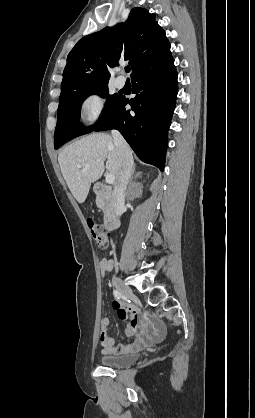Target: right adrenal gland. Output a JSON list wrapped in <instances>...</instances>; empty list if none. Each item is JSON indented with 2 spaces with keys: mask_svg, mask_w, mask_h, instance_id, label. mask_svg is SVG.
Here are the masks:
<instances>
[{
  "mask_svg": "<svg viewBox=\"0 0 255 418\" xmlns=\"http://www.w3.org/2000/svg\"><path fill=\"white\" fill-rule=\"evenodd\" d=\"M135 168L133 169V174H134ZM142 173L141 172H137L135 174V178L141 177ZM133 180V176H131L129 183L131 184Z\"/></svg>",
  "mask_w": 255,
  "mask_h": 418,
  "instance_id": "1",
  "label": "right adrenal gland"
}]
</instances>
